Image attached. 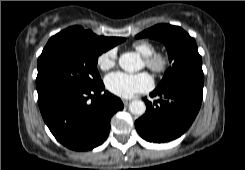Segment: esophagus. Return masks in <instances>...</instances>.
<instances>
[{
  "label": "esophagus",
  "mask_w": 245,
  "mask_h": 170,
  "mask_svg": "<svg viewBox=\"0 0 245 170\" xmlns=\"http://www.w3.org/2000/svg\"><path fill=\"white\" fill-rule=\"evenodd\" d=\"M129 102V100H123L124 105H128Z\"/></svg>",
  "instance_id": "34e87169"
}]
</instances>
